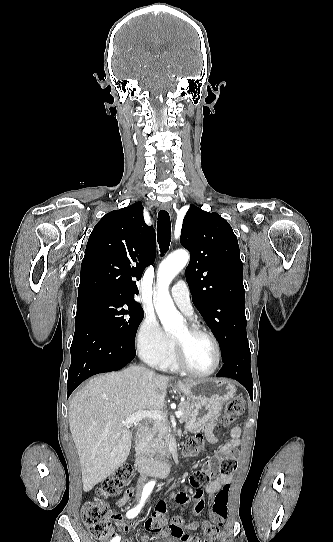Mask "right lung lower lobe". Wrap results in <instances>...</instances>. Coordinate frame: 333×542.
Listing matches in <instances>:
<instances>
[{"label":"right lung lower lobe","instance_id":"1","mask_svg":"<svg viewBox=\"0 0 333 542\" xmlns=\"http://www.w3.org/2000/svg\"><path fill=\"white\" fill-rule=\"evenodd\" d=\"M135 355V348L121 342L102 320L91 314H76L67 381L68 397L85 379L98 373L117 371Z\"/></svg>","mask_w":333,"mask_h":542}]
</instances>
